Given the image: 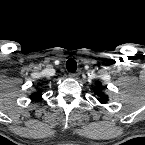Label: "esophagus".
I'll return each mask as SVG.
<instances>
[{
  "label": "esophagus",
  "mask_w": 145,
  "mask_h": 145,
  "mask_svg": "<svg viewBox=\"0 0 145 145\" xmlns=\"http://www.w3.org/2000/svg\"><path fill=\"white\" fill-rule=\"evenodd\" d=\"M80 73H81V71L78 70V71L75 72V73H69V76H70L71 78H77V77L80 75Z\"/></svg>",
  "instance_id": "1"
}]
</instances>
